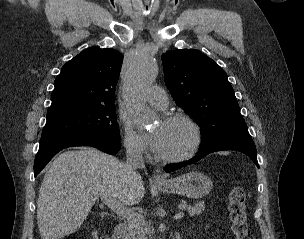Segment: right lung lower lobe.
<instances>
[{"label":"right lung lower lobe","instance_id":"1","mask_svg":"<svg viewBox=\"0 0 304 239\" xmlns=\"http://www.w3.org/2000/svg\"><path fill=\"white\" fill-rule=\"evenodd\" d=\"M73 146H92L112 155L120 150V142L99 136L69 134L41 137L40 147L34 163V175L37 176L59 151Z\"/></svg>","mask_w":304,"mask_h":239}]
</instances>
